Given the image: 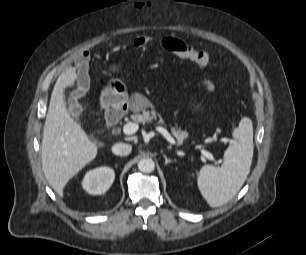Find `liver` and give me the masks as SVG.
I'll list each match as a JSON object with an SVG mask.
<instances>
[{"label":"liver","instance_id":"obj_1","mask_svg":"<svg viewBox=\"0 0 306 255\" xmlns=\"http://www.w3.org/2000/svg\"><path fill=\"white\" fill-rule=\"evenodd\" d=\"M76 79V67L65 70L58 77L51 94L42 138V169L50 186L61 197L68 181L98 153L96 144L89 140L66 109L63 88L72 86Z\"/></svg>","mask_w":306,"mask_h":255}]
</instances>
